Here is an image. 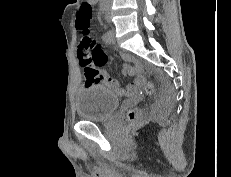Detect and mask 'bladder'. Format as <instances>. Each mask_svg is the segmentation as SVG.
I'll return each mask as SVG.
<instances>
[{"label":"bladder","mask_w":231,"mask_h":177,"mask_svg":"<svg viewBox=\"0 0 231 177\" xmlns=\"http://www.w3.org/2000/svg\"><path fill=\"white\" fill-rule=\"evenodd\" d=\"M119 106V98L103 86L91 85L80 88L75 96L78 116L88 121H103Z\"/></svg>","instance_id":"31cf9c89"}]
</instances>
